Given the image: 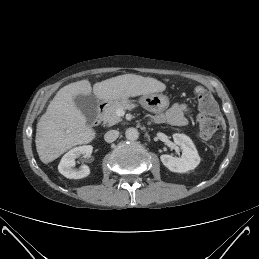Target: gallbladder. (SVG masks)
Masks as SVG:
<instances>
[{"label": "gallbladder", "mask_w": 259, "mask_h": 259, "mask_svg": "<svg viewBox=\"0 0 259 259\" xmlns=\"http://www.w3.org/2000/svg\"><path fill=\"white\" fill-rule=\"evenodd\" d=\"M75 105L81 110L88 121H93L97 116L98 99L96 96L89 94H79L74 96Z\"/></svg>", "instance_id": "bac80fb5"}]
</instances>
